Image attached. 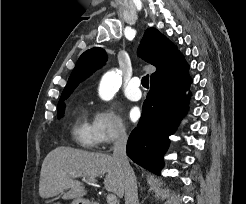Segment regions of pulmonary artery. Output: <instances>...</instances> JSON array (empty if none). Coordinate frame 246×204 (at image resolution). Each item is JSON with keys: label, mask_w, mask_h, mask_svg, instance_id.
I'll list each match as a JSON object with an SVG mask.
<instances>
[{"label": "pulmonary artery", "mask_w": 246, "mask_h": 204, "mask_svg": "<svg viewBox=\"0 0 246 204\" xmlns=\"http://www.w3.org/2000/svg\"><path fill=\"white\" fill-rule=\"evenodd\" d=\"M140 86V79L137 77L132 78L126 89H125V96L132 101H138L142 97Z\"/></svg>", "instance_id": "pulmonary-artery-1"}]
</instances>
